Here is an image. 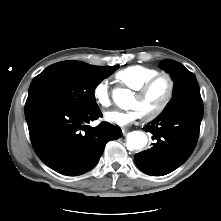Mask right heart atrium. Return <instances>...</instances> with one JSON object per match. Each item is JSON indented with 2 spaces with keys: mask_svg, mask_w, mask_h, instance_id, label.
Returning <instances> with one entry per match:
<instances>
[{
  "mask_svg": "<svg viewBox=\"0 0 221 221\" xmlns=\"http://www.w3.org/2000/svg\"><path fill=\"white\" fill-rule=\"evenodd\" d=\"M93 96L101 108H108L111 105V94L107 81H101L94 87Z\"/></svg>",
  "mask_w": 221,
  "mask_h": 221,
  "instance_id": "right-heart-atrium-1",
  "label": "right heart atrium"
}]
</instances>
